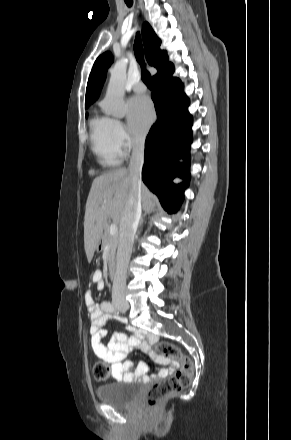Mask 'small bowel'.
Returning a JSON list of instances; mask_svg holds the SVG:
<instances>
[{"mask_svg":"<svg viewBox=\"0 0 291 440\" xmlns=\"http://www.w3.org/2000/svg\"><path fill=\"white\" fill-rule=\"evenodd\" d=\"M92 282L96 284L99 289L104 287L101 272H95L93 274ZM84 300L91 319V348L99 359L110 364L111 373L115 378L148 382L157 377L168 376L177 369L178 362L175 359L154 358L157 363L165 367L148 373L146 363L141 362L135 372H133V363L126 360L132 347L134 345H140L144 352H148L149 344L143 339L146 338L149 343H155L157 336L153 333L143 331H138L132 335L123 332H114L108 345H104L103 340L107 336V330L104 328V325L107 321L118 318L109 311V303L104 302L101 306H98L94 302L89 290L85 292Z\"/></svg>","mask_w":291,"mask_h":440,"instance_id":"c3829d8e","label":"small bowel"}]
</instances>
